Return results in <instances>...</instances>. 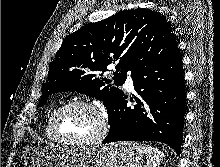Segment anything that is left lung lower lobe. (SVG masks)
Masks as SVG:
<instances>
[{"instance_id": "left-lung-lower-lobe-1", "label": "left lung lower lobe", "mask_w": 220, "mask_h": 167, "mask_svg": "<svg viewBox=\"0 0 220 167\" xmlns=\"http://www.w3.org/2000/svg\"><path fill=\"white\" fill-rule=\"evenodd\" d=\"M179 49L137 70L132 76L138 94L127 107L123 95L109 114L110 130L103 144L116 141H160L179 155L183 142L186 93Z\"/></svg>"}]
</instances>
